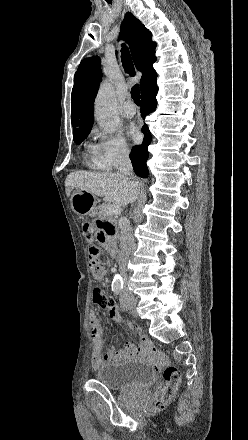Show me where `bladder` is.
I'll return each instance as SVG.
<instances>
[{
    "mask_svg": "<svg viewBox=\"0 0 248 440\" xmlns=\"http://www.w3.org/2000/svg\"><path fill=\"white\" fill-rule=\"evenodd\" d=\"M95 379L112 390H142L154 381L155 373L141 361L124 359L98 368Z\"/></svg>",
    "mask_w": 248,
    "mask_h": 440,
    "instance_id": "obj_1",
    "label": "bladder"
}]
</instances>
